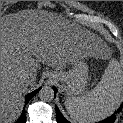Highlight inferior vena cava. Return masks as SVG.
Instances as JSON below:
<instances>
[{
  "label": "inferior vena cava",
  "instance_id": "1",
  "mask_svg": "<svg viewBox=\"0 0 123 123\" xmlns=\"http://www.w3.org/2000/svg\"><path fill=\"white\" fill-rule=\"evenodd\" d=\"M21 79H24V80H29L30 78V74L26 71H24L21 75H20Z\"/></svg>",
  "mask_w": 123,
  "mask_h": 123
}]
</instances>
